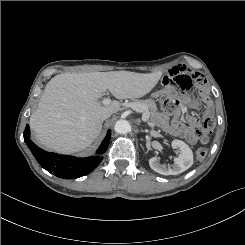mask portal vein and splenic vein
<instances>
[{
	"mask_svg": "<svg viewBox=\"0 0 245 245\" xmlns=\"http://www.w3.org/2000/svg\"><path fill=\"white\" fill-rule=\"evenodd\" d=\"M102 103H103V105H109L111 103V100L109 98H104ZM126 106L132 108L133 110H136V105L135 104H128ZM149 117H150V114H149V112L146 111L142 115V120L144 122H148Z\"/></svg>",
	"mask_w": 245,
	"mask_h": 245,
	"instance_id": "obj_1",
	"label": "portal vein and splenic vein"
}]
</instances>
